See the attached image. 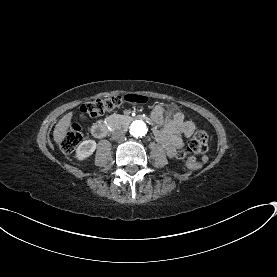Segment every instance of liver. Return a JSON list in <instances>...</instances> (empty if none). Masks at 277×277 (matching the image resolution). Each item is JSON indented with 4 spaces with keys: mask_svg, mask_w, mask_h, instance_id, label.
<instances>
[{
    "mask_svg": "<svg viewBox=\"0 0 277 277\" xmlns=\"http://www.w3.org/2000/svg\"><path fill=\"white\" fill-rule=\"evenodd\" d=\"M73 115L74 112L70 111L56 124L53 132V138L56 144H60L67 136L68 130L72 125Z\"/></svg>",
    "mask_w": 277,
    "mask_h": 277,
    "instance_id": "obj_1",
    "label": "liver"
}]
</instances>
